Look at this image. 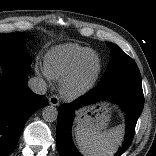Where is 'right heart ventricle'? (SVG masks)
<instances>
[{
    "label": "right heart ventricle",
    "instance_id": "obj_1",
    "mask_svg": "<svg viewBox=\"0 0 156 156\" xmlns=\"http://www.w3.org/2000/svg\"><path fill=\"white\" fill-rule=\"evenodd\" d=\"M88 55L98 56L92 49L78 44L55 46L45 55L46 73L53 80L63 81L73 71L77 63Z\"/></svg>",
    "mask_w": 156,
    "mask_h": 156
}]
</instances>
